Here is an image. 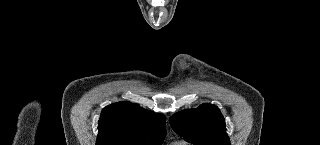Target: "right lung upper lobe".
I'll use <instances>...</instances> for the list:
<instances>
[{
	"instance_id": "obj_1",
	"label": "right lung upper lobe",
	"mask_w": 320,
	"mask_h": 145,
	"mask_svg": "<svg viewBox=\"0 0 320 145\" xmlns=\"http://www.w3.org/2000/svg\"><path fill=\"white\" fill-rule=\"evenodd\" d=\"M96 145H159L165 138V116L123 101L105 107Z\"/></svg>"
}]
</instances>
